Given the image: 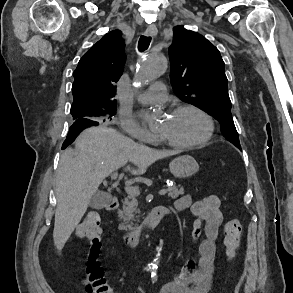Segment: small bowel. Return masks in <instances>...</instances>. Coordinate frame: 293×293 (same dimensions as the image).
<instances>
[{"label": "small bowel", "mask_w": 293, "mask_h": 293, "mask_svg": "<svg viewBox=\"0 0 293 293\" xmlns=\"http://www.w3.org/2000/svg\"><path fill=\"white\" fill-rule=\"evenodd\" d=\"M176 212L189 210L193 218L191 238L198 243V258L188 260L182 270L166 283L161 293H209L214 279L216 240L224 218L220 199L207 195L193 203L189 194L173 205Z\"/></svg>", "instance_id": "c3829d8e"}]
</instances>
